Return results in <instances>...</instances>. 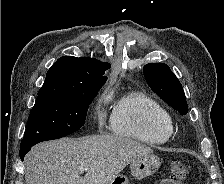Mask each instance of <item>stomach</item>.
Here are the masks:
<instances>
[{
    "label": "stomach",
    "mask_w": 224,
    "mask_h": 184,
    "mask_svg": "<svg viewBox=\"0 0 224 184\" xmlns=\"http://www.w3.org/2000/svg\"><path fill=\"white\" fill-rule=\"evenodd\" d=\"M160 166V159L156 155L136 159L131 162L130 170L135 179H142L155 173ZM106 184H129L128 178L119 174Z\"/></svg>",
    "instance_id": "stomach-1"
}]
</instances>
